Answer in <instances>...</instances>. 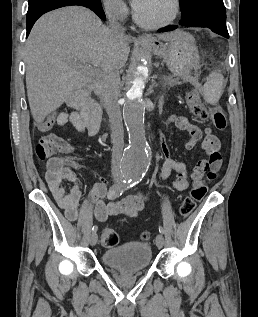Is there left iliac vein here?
<instances>
[{
    "instance_id": "left-iliac-vein-1",
    "label": "left iliac vein",
    "mask_w": 258,
    "mask_h": 317,
    "mask_svg": "<svg viewBox=\"0 0 258 317\" xmlns=\"http://www.w3.org/2000/svg\"><path fill=\"white\" fill-rule=\"evenodd\" d=\"M118 182L119 183H122L123 182V179L122 178H119L118 179ZM156 245L158 246V248H163V246L165 245V240H164V238H163V235L162 234H157L156 235Z\"/></svg>"
}]
</instances>
